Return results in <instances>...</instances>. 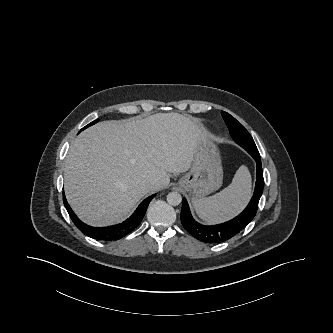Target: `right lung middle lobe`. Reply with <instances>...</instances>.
Listing matches in <instances>:
<instances>
[{
	"instance_id": "dd1d6c3e",
	"label": "right lung middle lobe",
	"mask_w": 333,
	"mask_h": 333,
	"mask_svg": "<svg viewBox=\"0 0 333 333\" xmlns=\"http://www.w3.org/2000/svg\"><path fill=\"white\" fill-rule=\"evenodd\" d=\"M98 122V119L97 120H95V121H93V122H91L90 124H88L87 126H85L83 129H81V131L82 130H84L85 128H87V127H89V126H91V125H93V124H95V123H97Z\"/></svg>"
}]
</instances>
